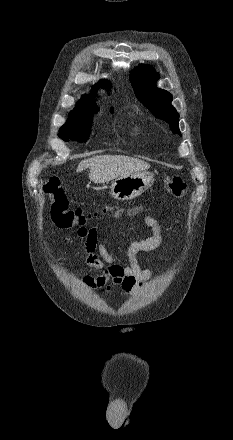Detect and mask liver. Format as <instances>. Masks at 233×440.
<instances>
[{
    "mask_svg": "<svg viewBox=\"0 0 233 440\" xmlns=\"http://www.w3.org/2000/svg\"><path fill=\"white\" fill-rule=\"evenodd\" d=\"M90 168L89 179L94 183H106L113 179L150 168V164L142 160L122 155H100L82 160L76 172Z\"/></svg>",
    "mask_w": 233,
    "mask_h": 440,
    "instance_id": "liver-1",
    "label": "liver"
}]
</instances>
